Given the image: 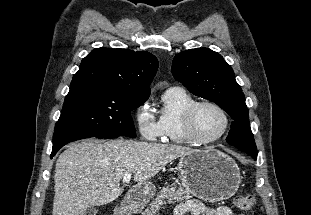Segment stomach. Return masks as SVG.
I'll use <instances>...</instances> for the list:
<instances>
[{"label":"stomach","instance_id":"1","mask_svg":"<svg viewBox=\"0 0 311 215\" xmlns=\"http://www.w3.org/2000/svg\"><path fill=\"white\" fill-rule=\"evenodd\" d=\"M178 174L184 190L206 202H218L232 197L239 188L241 176L236 162L227 154L209 148L193 150L179 159ZM153 183L135 188L128 201L117 209L140 212L155 195Z\"/></svg>","mask_w":311,"mask_h":215}]
</instances>
